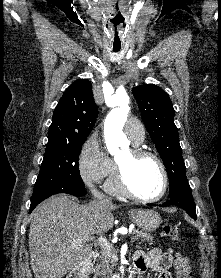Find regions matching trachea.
Here are the masks:
<instances>
[{
  "instance_id": "3493384b",
  "label": "trachea",
  "mask_w": 221,
  "mask_h": 278,
  "mask_svg": "<svg viewBox=\"0 0 221 278\" xmlns=\"http://www.w3.org/2000/svg\"><path fill=\"white\" fill-rule=\"evenodd\" d=\"M113 51H114L115 53H117V52L120 51V48H115V47H113Z\"/></svg>"
}]
</instances>
